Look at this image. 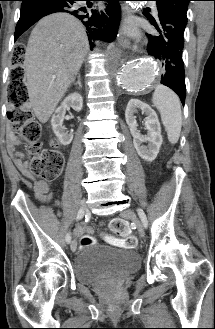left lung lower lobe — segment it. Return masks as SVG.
I'll list each match as a JSON object with an SVG mask.
<instances>
[{
	"mask_svg": "<svg viewBox=\"0 0 215 329\" xmlns=\"http://www.w3.org/2000/svg\"><path fill=\"white\" fill-rule=\"evenodd\" d=\"M157 9L156 20L147 16L157 30L156 35L148 34V52L165 66L161 84L175 91L184 105L186 86L182 53L186 24L166 10Z\"/></svg>",
	"mask_w": 215,
	"mask_h": 329,
	"instance_id": "1",
	"label": "left lung lower lobe"
}]
</instances>
